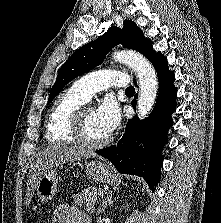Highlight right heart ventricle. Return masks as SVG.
Returning <instances> with one entry per match:
<instances>
[{
  "mask_svg": "<svg viewBox=\"0 0 221 223\" xmlns=\"http://www.w3.org/2000/svg\"><path fill=\"white\" fill-rule=\"evenodd\" d=\"M85 101L71 88L58 96L49 111L45 125V134L49 142H74L69 131L70 125L76 110Z\"/></svg>",
  "mask_w": 221,
  "mask_h": 223,
  "instance_id": "e07e8e85",
  "label": "right heart ventricle"
}]
</instances>
